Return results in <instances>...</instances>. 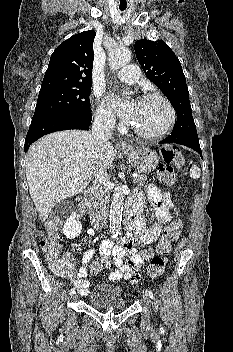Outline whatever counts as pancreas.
Wrapping results in <instances>:
<instances>
[{
  "instance_id": "1",
  "label": "pancreas",
  "mask_w": 233,
  "mask_h": 352,
  "mask_svg": "<svg viewBox=\"0 0 233 352\" xmlns=\"http://www.w3.org/2000/svg\"><path fill=\"white\" fill-rule=\"evenodd\" d=\"M146 181H147V176H145V175H138L137 178H134L135 185H137L139 187L144 186Z\"/></svg>"
}]
</instances>
